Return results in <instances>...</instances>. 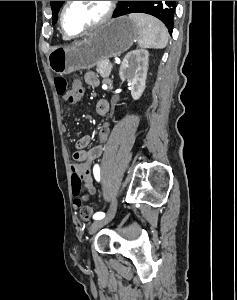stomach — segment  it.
Returning <instances> with one entry per match:
<instances>
[{"mask_svg": "<svg viewBox=\"0 0 237 300\" xmlns=\"http://www.w3.org/2000/svg\"><path fill=\"white\" fill-rule=\"evenodd\" d=\"M137 37V25L129 17L109 19L71 47H53L47 55L48 67L57 75L92 69L97 63L127 51Z\"/></svg>", "mask_w": 237, "mask_h": 300, "instance_id": "1", "label": "stomach"}]
</instances>
